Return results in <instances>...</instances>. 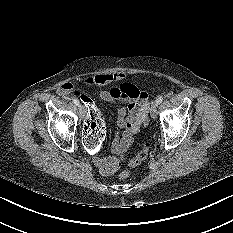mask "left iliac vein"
Segmentation results:
<instances>
[{"label":"left iliac vein","mask_w":233,"mask_h":233,"mask_svg":"<svg viewBox=\"0 0 233 233\" xmlns=\"http://www.w3.org/2000/svg\"><path fill=\"white\" fill-rule=\"evenodd\" d=\"M157 107H158V104L156 102L152 103L151 108H150V114L153 119L157 117Z\"/></svg>","instance_id":"left-iliac-vein-1"}]
</instances>
